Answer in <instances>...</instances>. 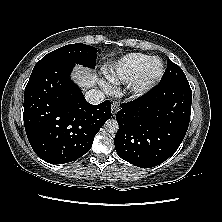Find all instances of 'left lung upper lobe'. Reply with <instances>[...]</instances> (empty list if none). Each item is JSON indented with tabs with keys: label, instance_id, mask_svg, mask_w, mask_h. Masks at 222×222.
Masks as SVG:
<instances>
[{
	"label": "left lung upper lobe",
	"instance_id": "left-lung-upper-lobe-1",
	"mask_svg": "<svg viewBox=\"0 0 222 222\" xmlns=\"http://www.w3.org/2000/svg\"><path fill=\"white\" fill-rule=\"evenodd\" d=\"M162 83L181 82L188 83V80L182 69L173 63L171 60L167 61V68L161 79Z\"/></svg>",
	"mask_w": 222,
	"mask_h": 222
}]
</instances>
